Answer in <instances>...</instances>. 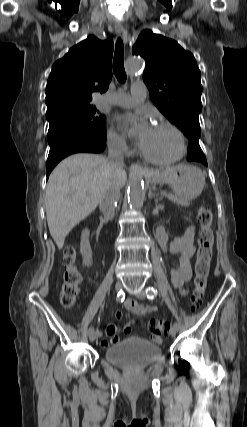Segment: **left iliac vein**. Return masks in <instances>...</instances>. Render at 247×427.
Segmentation results:
<instances>
[{
  "label": "left iliac vein",
  "instance_id": "obj_1",
  "mask_svg": "<svg viewBox=\"0 0 247 427\" xmlns=\"http://www.w3.org/2000/svg\"><path fill=\"white\" fill-rule=\"evenodd\" d=\"M136 296H137L139 299H144V298H145V292H144V291H138V292L136 293ZM177 331H178V329H177L175 326H173V327H171V329L169 330V334H170L172 337H174V336L176 335Z\"/></svg>",
  "mask_w": 247,
  "mask_h": 427
}]
</instances>
